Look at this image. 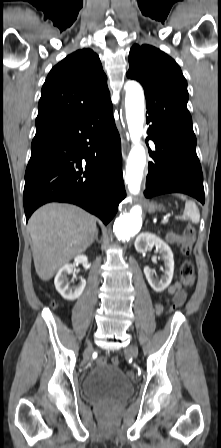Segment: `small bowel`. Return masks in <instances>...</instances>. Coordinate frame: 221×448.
<instances>
[{
  "label": "small bowel",
  "mask_w": 221,
  "mask_h": 448,
  "mask_svg": "<svg viewBox=\"0 0 221 448\" xmlns=\"http://www.w3.org/2000/svg\"><path fill=\"white\" fill-rule=\"evenodd\" d=\"M167 240L170 243H181L182 242V236H180L176 232H169L167 234ZM194 277H192L190 284L193 283ZM168 293L173 296L174 300L178 299L181 303L185 300V294L181 291L180 284L176 282L172 286L169 287ZM155 311L157 314L161 313L162 311V305L160 303H157L155 305Z\"/></svg>",
  "instance_id": "c3829d8e"
}]
</instances>
